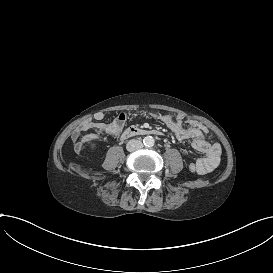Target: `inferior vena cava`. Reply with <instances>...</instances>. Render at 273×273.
Listing matches in <instances>:
<instances>
[{"label": "inferior vena cava", "mask_w": 273, "mask_h": 273, "mask_svg": "<svg viewBox=\"0 0 273 273\" xmlns=\"http://www.w3.org/2000/svg\"><path fill=\"white\" fill-rule=\"evenodd\" d=\"M143 147V144L141 141L136 140V139H131L128 143H127V150L130 152L139 150Z\"/></svg>", "instance_id": "1"}]
</instances>
